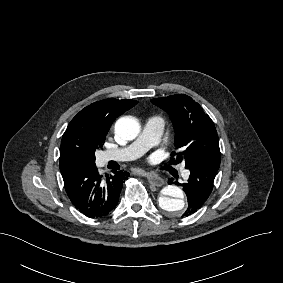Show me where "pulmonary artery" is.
Instances as JSON below:
<instances>
[{
	"label": "pulmonary artery",
	"instance_id": "obj_1",
	"mask_svg": "<svg viewBox=\"0 0 283 283\" xmlns=\"http://www.w3.org/2000/svg\"><path fill=\"white\" fill-rule=\"evenodd\" d=\"M164 130V120L159 116L148 118L143 126L138 138L128 147H120L111 152V156L117 161H129L141 155H146L151 146L157 144ZM184 176H189V171L184 172Z\"/></svg>",
	"mask_w": 283,
	"mask_h": 283
}]
</instances>
